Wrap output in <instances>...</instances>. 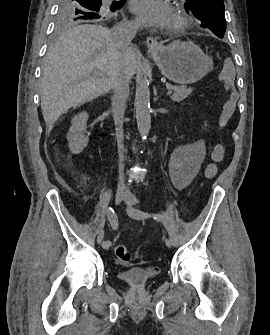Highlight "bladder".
I'll use <instances>...</instances> for the list:
<instances>
[{
	"label": "bladder",
	"instance_id": "31cf9c89",
	"mask_svg": "<svg viewBox=\"0 0 270 335\" xmlns=\"http://www.w3.org/2000/svg\"><path fill=\"white\" fill-rule=\"evenodd\" d=\"M119 278L129 285L140 288L145 284H151L153 281V275L149 268H136L126 270L123 273H119Z\"/></svg>",
	"mask_w": 270,
	"mask_h": 335
}]
</instances>
